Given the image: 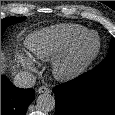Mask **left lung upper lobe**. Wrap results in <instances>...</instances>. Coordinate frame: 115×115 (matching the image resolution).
Masks as SVG:
<instances>
[{
	"mask_svg": "<svg viewBox=\"0 0 115 115\" xmlns=\"http://www.w3.org/2000/svg\"><path fill=\"white\" fill-rule=\"evenodd\" d=\"M115 67V38L111 39L109 52L106 58L97 66L98 69Z\"/></svg>",
	"mask_w": 115,
	"mask_h": 115,
	"instance_id": "5c2ea615",
	"label": "left lung upper lobe"
}]
</instances>
